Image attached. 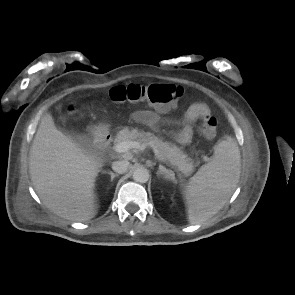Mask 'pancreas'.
<instances>
[{
	"instance_id": "pancreas-1",
	"label": "pancreas",
	"mask_w": 295,
	"mask_h": 295,
	"mask_svg": "<svg viewBox=\"0 0 295 295\" xmlns=\"http://www.w3.org/2000/svg\"><path fill=\"white\" fill-rule=\"evenodd\" d=\"M123 141H137L151 147L161 162L169 163L184 174L188 175L193 170L192 159L181 148L172 143L164 142L153 133L125 127L117 133L115 138L116 144Z\"/></svg>"
}]
</instances>
